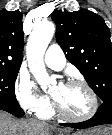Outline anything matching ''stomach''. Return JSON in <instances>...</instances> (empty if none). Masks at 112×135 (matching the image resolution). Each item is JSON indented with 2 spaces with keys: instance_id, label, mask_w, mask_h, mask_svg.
<instances>
[{
  "instance_id": "obj_1",
  "label": "stomach",
  "mask_w": 112,
  "mask_h": 135,
  "mask_svg": "<svg viewBox=\"0 0 112 135\" xmlns=\"http://www.w3.org/2000/svg\"><path fill=\"white\" fill-rule=\"evenodd\" d=\"M72 135H110L107 128H99L91 132H76Z\"/></svg>"
}]
</instances>
